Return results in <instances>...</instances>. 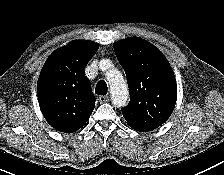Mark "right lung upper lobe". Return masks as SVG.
<instances>
[{"instance_id": "1", "label": "right lung upper lobe", "mask_w": 224, "mask_h": 175, "mask_svg": "<svg viewBox=\"0 0 224 175\" xmlns=\"http://www.w3.org/2000/svg\"><path fill=\"white\" fill-rule=\"evenodd\" d=\"M98 48L91 41H73L54 51L45 62L37 95L43 116L56 130L75 132L89 119L95 96L85 77V67Z\"/></svg>"}]
</instances>
